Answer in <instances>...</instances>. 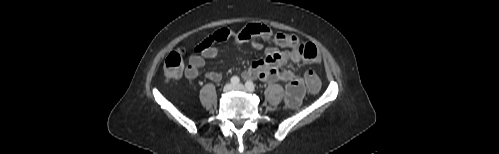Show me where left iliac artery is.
I'll use <instances>...</instances> for the list:
<instances>
[{
    "label": "left iliac artery",
    "instance_id": "obj_1",
    "mask_svg": "<svg viewBox=\"0 0 499 154\" xmlns=\"http://www.w3.org/2000/svg\"><path fill=\"white\" fill-rule=\"evenodd\" d=\"M245 87L250 92H254L255 91V85H254V83L252 81H247L245 83Z\"/></svg>",
    "mask_w": 499,
    "mask_h": 154
}]
</instances>
